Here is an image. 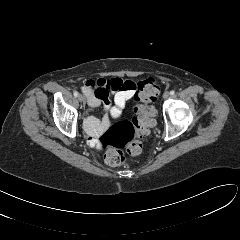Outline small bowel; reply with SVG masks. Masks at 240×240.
Listing matches in <instances>:
<instances>
[{
    "label": "small bowel",
    "instance_id": "1",
    "mask_svg": "<svg viewBox=\"0 0 240 240\" xmlns=\"http://www.w3.org/2000/svg\"><path fill=\"white\" fill-rule=\"evenodd\" d=\"M88 106L95 109L103 105L105 115L99 120L88 115L84 120V127L89 135L95 137L103 132L112 119L117 118L124 108L126 102L135 95V83L131 80L120 78L88 80L82 87ZM114 95L112 105L109 95Z\"/></svg>",
    "mask_w": 240,
    "mask_h": 240
}]
</instances>
